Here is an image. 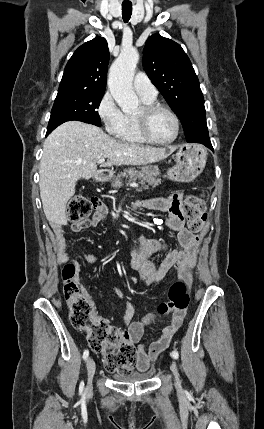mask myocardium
Listing matches in <instances>:
<instances>
[{"label":"myocardium","instance_id":"f54148a6","mask_svg":"<svg viewBox=\"0 0 264 429\" xmlns=\"http://www.w3.org/2000/svg\"><path fill=\"white\" fill-rule=\"evenodd\" d=\"M159 111H163V112H166L167 114H169L175 123L174 136L171 139L166 140V141L156 140L151 135L150 129H149V121H150L151 116L154 113L159 112ZM135 117H136L139 132H140L141 136L143 137V139L148 143L156 144V145H168V144L173 143L179 136V133H180L179 117L177 116V114L172 109H170L169 107H167L163 104L156 103V102L144 104L142 109H141V112L139 114H137Z\"/></svg>","mask_w":264,"mask_h":429}]
</instances>
